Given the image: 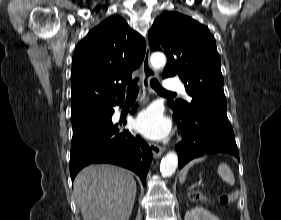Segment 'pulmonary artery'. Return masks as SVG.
I'll return each mask as SVG.
<instances>
[{"instance_id":"1","label":"pulmonary artery","mask_w":281,"mask_h":220,"mask_svg":"<svg viewBox=\"0 0 281 220\" xmlns=\"http://www.w3.org/2000/svg\"><path fill=\"white\" fill-rule=\"evenodd\" d=\"M164 88L167 91H177V92H180L182 94H185L184 86H183V84L179 80L166 79L164 81ZM186 97L189 99L188 96H186Z\"/></svg>"}]
</instances>
